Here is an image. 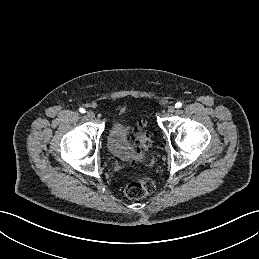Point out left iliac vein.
<instances>
[{"instance_id":"4c4485c4","label":"left iliac vein","mask_w":259,"mask_h":259,"mask_svg":"<svg viewBox=\"0 0 259 259\" xmlns=\"http://www.w3.org/2000/svg\"><path fill=\"white\" fill-rule=\"evenodd\" d=\"M175 110H176L175 106L172 105V106H169V107H168V110H167V111H168V113H171V114H172V113L175 112Z\"/></svg>"}]
</instances>
